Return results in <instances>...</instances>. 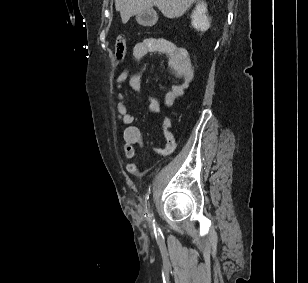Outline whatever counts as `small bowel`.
<instances>
[{"mask_svg": "<svg viewBox=\"0 0 308 283\" xmlns=\"http://www.w3.org/2000/svg\"><path fill=\"white\" fill-rule=\"evenodd\" d=\"M151 53H160L168 57L169 66L173 73L182 79L180 85H174L165 95L164 104L166 107L173 106L182 98L194 80L195 72L189 53L182 47L162 38H145L139 41L133 49V55L141 59ZM127 84L130 89L138 91L142 86L141 73H131L129 70H123L116 78V87L118 89L116 110L119 121L125 125L123 130L124 153L130 162L126 169L131 174H144L149 167H142L132 162L136 156L135 146L139 143L141 134L137 126L133 124L134 117L130 114L123 88ZM149 110L152 114L157 115L161 112L159 102L150 97ZM165 146L156 149L155 153L160 157H166L172 154L176 148L174 135L167 129L164 131Z\"/></svg>", "mask_w": 308, "mask_h": 283, "instance_id": "1", "label": "small bowel"}]
</instances>
